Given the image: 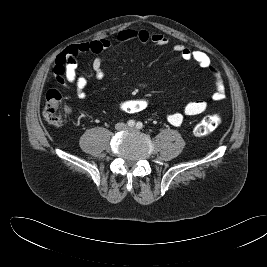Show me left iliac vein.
I'll list each match as a JSON object with an SVG mask.
<instances>
[{"label": "left iliac vein", "mask_w": 267, "mask_h": 267, "mask_svg": "<svg viewBox=\"0 0 267 267\" xmlns=\"http://www.w3.org/2000/svg\"><path fill=\"white\" fill-rule=\"evenodd\" d=\"M131 130H134L135 128H130Z\"/></svg>", "instance_id": "1"}]
</instances>
